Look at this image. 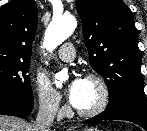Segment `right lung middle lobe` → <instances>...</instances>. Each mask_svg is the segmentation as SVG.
<instances>
[{"mask_svg":"<svg viewBox=\"0 0 147 131\" xmlns=\"http://www.w3.org/2000/svg\"><path fill=\"white\" fill-rule=\"evenodd\" d=\"M30 61L0 59V94L27 99L33 96L29 75Z\"/></svg>","mask_w":147,"mask_h":131,"instance_id":"right-lung-middle-lobe-1","label":"right lung middle lobe"}]
</instances>
